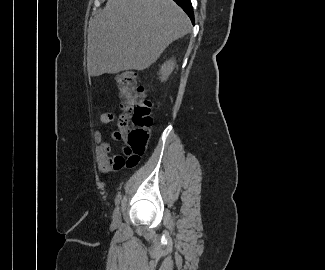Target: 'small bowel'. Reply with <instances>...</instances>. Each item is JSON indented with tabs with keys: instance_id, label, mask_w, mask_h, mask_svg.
<instances>
[{
	"instance_id": "c3829d8e",
	"label": "small bowel",
	"mask_w": 325,
	"mask_h": 270,
	"mask_svg": "<svg viewBox=\"0 0 325 270\" xmlns=\"http://www.w3.org/2000/svg\"><path fill=\"white\" fill-rule=\"evenodd\" d=\"M114 113L105 112L101 115V122L110 124L114 120ZM96 142V162L100 172L106 173L112 170H120L123 167H131L127 163L126 157L120 154H113V145L103 140L100 130H95L93 134Z\"/></svg>"
}]
</instances>
